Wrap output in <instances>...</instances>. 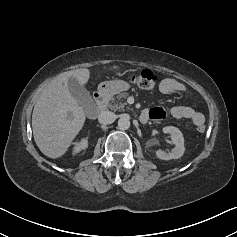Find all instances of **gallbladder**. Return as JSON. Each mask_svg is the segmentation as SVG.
Listing matches in <instances>:
<instances>
[{"instance_id": "bac80fb5", "label": "gallbladder", "mask_w": 237, "mask_h": 237, "mask_svg": "<svg viewBox=\"0 0 237 237\" xmlns=\"http://www.w3.org/2000/svg\"><path fill=\"white\" fill-rule=\"evenodd\" d=\"M68 89L77 103L85 110H89L94 106V101L89 92L84 87H82L74 78H69ZM68 117L71 118L70 113L68 114Z\"/></svg>"}]
</instances>
